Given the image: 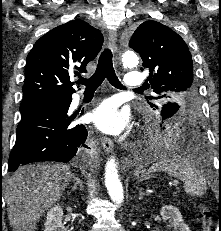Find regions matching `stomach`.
<instances>
[{
    "label": "stomach",
    "mask_w": 221,
    "mask_h": 231,
    "mask_svg": "<svg viewBox=\"0 0 221 231\" xmlns=\"http://www.w3.org/2000/svg\"><path fill=\"white\" fill-rule=\"evenodd\" d=\"M136 176L140 181H143L149 178V174L144 171L136 172Z\"/></svg>",
    "instance_id": "obj_1"
}]
</instances>
